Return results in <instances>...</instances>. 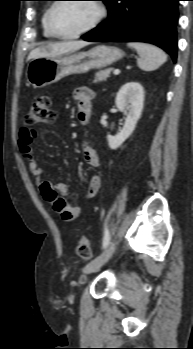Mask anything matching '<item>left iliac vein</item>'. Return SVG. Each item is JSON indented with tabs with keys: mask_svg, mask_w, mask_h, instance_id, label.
Instances as JSON below:
<instances>
[{
	"mask_svg": "<svg viewBox=\"0 0 193 349\" xmlns=\"http://www.w3.org/2000/svg\"><path fill=\"white\" fill-rule=\"evenodd\" d=\"M115 247H116V242L112 241L109 244V246L103 251L102 254H100L96 259H94L92 262H90L84 267L83 272L85 274H90L95 271H98L112 257L115 251Z\"/></svg>",
	"mask_w": 193,
	"mask_h": 349,
	"instance_id": "obj_1",
	"label": "left iliac vein"
}]
</instances>
